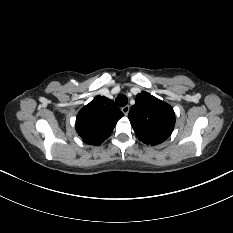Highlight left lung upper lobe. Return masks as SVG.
<instances>
[{"mask_svg": "<svg viewBox=\"0 0 233 233\" xmlns=\"http://www.w3.org/2000/svg\"><path fill=\"white\" fill-rule=\"evenodd\" d=\"M128 118L138 138L151 146L165 141L175 125L172 107L147 92L136 96Z\"/></svg>", "mask_w": 233, "mask_h": 233, "instance_id": "obj_1", "label": "left lung upper lobe"}]
</instances>
